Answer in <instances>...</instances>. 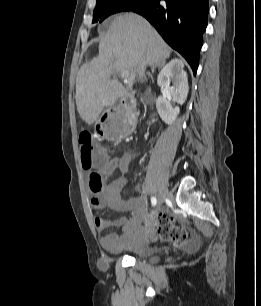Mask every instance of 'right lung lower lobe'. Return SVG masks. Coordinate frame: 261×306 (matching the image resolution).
<instances>
[{"mask_svg":"<svg viewBox=\"0 0 261 306\" xmlns=\"http://www.w3.org/2000/svg\"><path fill=\"white\" fill-rule=\"evenodd\" d=\"M142 0L131 11L144 16L163 39L190 64L198 68L202 34L207 26L208 0Z\"/></svg>","mask_w":261,"mask_h":306,"instance_id":"1","label":"right lung lower lobe"}]
</instances>
